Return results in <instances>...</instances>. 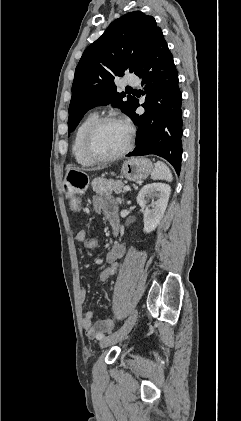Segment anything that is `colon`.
<instances>
[{"label": "colon", "instance_id": "colon-1", "mask_svg": "<svg viewBox=\"0 0 241 421\" xmlns=\"http://www.w3.org/2000/svg\"><path fill=\"white\" fill-rule=\"evenodd\" d=\"M99 244V237L97 235H92L87 237L83 243V246L86 250L91 251L94 250ZM120 270V264L118 262H113L109 264L100 274V281L102 283L110 282L114 276Z\"/></svg>", "mask_w": 241, "mask_h": 421}]
</instances>
